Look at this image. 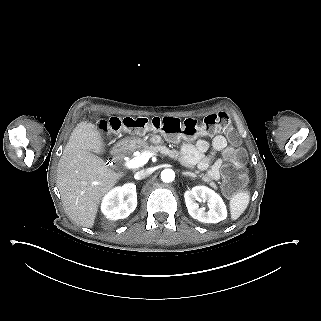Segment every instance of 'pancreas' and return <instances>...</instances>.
<instances>
[{
	"instance_id": "obj_1",
	"label": "pancreas",
	"mask_w": 321,
	"mask_h": 321,
	"mask_svg": "<svg viewBox=\"0 0 321 321\" xmlns=\"http://www.w3.org/2000/svg\"><path fill=\"white\" fill-rule=\"evenodd\" d=\"M140 142V141H138ZM123 150L125 151L123 153V156L125 157L129 152H134L135 150H139L140 152H150V153H157L160 152L161 154L167 155L170 158H173L174 160H178L179 162H181V156H180V152L172 149L170 150L168 147L163 146V145H157V146H153V145H147L146 143L141 144V145H133V144H129L127 146H124ZM195 176H197L199 174V171H195L194 172ZM199 177H201V179L208 183L210 185V187H212L213 189H217V185L215 184V182L211 179V177L207 176L206 174H200Z\"/></svg>"
}]
</instances>
